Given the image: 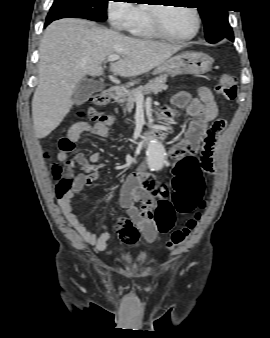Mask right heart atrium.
<instances>
[{"label":"right heart atrium","instance_id":"d8ad5b80","mask_svg":"<svg viewBox=\"0 0 270 338\" xmlns=\"http://www.w3.org/2000/svg\"><path fill=\"white\" fill-rule=\"evenodd\" d=\"M108 16L114 27L126 29L138 19V12L132 3L115 2L108 7Z\"/></svg>","mask_w":270,"mask_h":338}]
</instances>
